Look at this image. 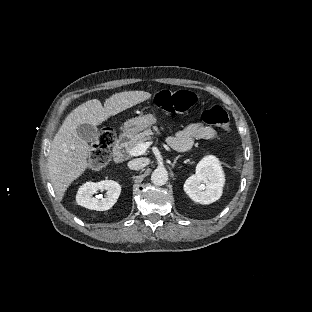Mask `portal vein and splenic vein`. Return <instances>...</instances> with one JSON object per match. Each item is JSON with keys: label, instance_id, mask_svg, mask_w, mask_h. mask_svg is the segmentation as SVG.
I'll return each mask as SVG.
<instances>
[{"label": "portal vein and splenic vein", "instance_id": "portal-vein-and-splenic-vein-1", "mask_svg": "<svg viewBox=\"0 0 312 312\" xmlns=\"http://www.w3.org/2000/svg\"><path fill=\"white\" fill-rule=\"evenodd\" d=\"M151 144L152 142L140 143L136 147H134L129 153L131 156L143 155Z\"/></svg>", "mask_w": 312, "mask_h": 312}]
</instances>
